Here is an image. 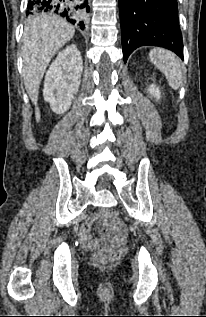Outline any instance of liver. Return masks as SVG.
<instances>
[{"label":"liver","mask_w":206,"mask_h":317,"mask_svg":"<svg viewBox=\"0 0 206 317\" xmlns=\"http://www.w3.org/2000/svg\"><path fill=\"white\" fill-rule=\"evenodd\" d=\"M75 33L65 19L52 13L40 14L28 21L22 37L23 78L25 89L35 105L36 121H40L37 106L39 87L53 56Z\"/></svg>","instance_id":"liver-1"}]
</instances>
